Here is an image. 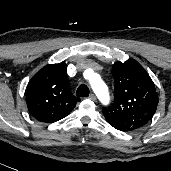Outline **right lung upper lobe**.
Here are the masks:
<instances>
[{"mask_svg":"<svg viewBox=\"0 0 171 171\" xmlns=\"http://www.w3.org/2000/svg\"><path fill=\"white\" fill-rule=\"evenodd\" d=\"M78 101L70 91L64 62L42 68L27 86L28 110L40 122L53 123L66 117Z\"/></svg>","mask_w":171,"mask_h":171,"instance_id":"cb5924a9","label":"right lung upper lobe"}]
</instances>
